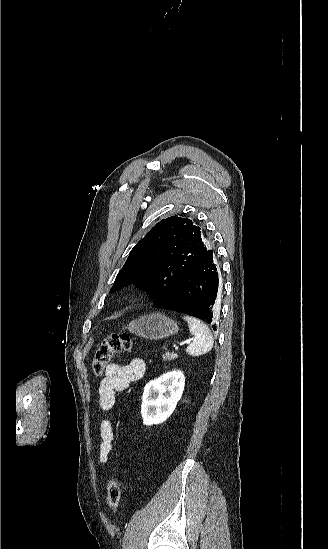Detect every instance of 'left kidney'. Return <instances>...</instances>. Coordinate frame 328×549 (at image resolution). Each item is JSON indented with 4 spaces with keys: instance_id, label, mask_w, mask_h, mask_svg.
<instances>
[{
    "instance_id": "5707ae66",
    "label": "left kidney",
    "mask_w": 328,
    "mask_h": 549,
    "mask_svg": "<svg viewBox=\"0 0 328 549\" xmlns=\"http://www.w3.org/2000/svg\"><path fill=\"white\" fill-rule=\"evenodd\" d=\"M184 385L182 371H170L147 383L141 405L144 425H158L166 421L175 411L183 395Z\"/></svg>"
}]
</instances>
